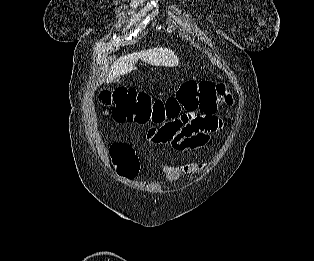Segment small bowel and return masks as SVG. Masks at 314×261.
I'll return each mask as SVG.
<instances>
[{
  "mask_svg": "<svg viewBox=\"0 0 314 261\" xmlns=\"http://www.w3.org/2000/svg\"><path fill=\"white\" fill-rule=\"evenodd\" d=\"M231 98L226 104H231ZM222 117L214 111L193 109L192 113H180L174 120H164L158 128H151L145 133V140L153 142L157 148H170L172 151L195 150L204 147L211 135L223 129ZM204 169L203 165L186 163L182 165H165L163 172L171 182L183 175L197 174Z\"/></svg>",
  "mask_w": 314,
  "mask_h": 261,
  "instance_id": "small-bowel-1",
  "label": "small bowel"
}]
</instances>
